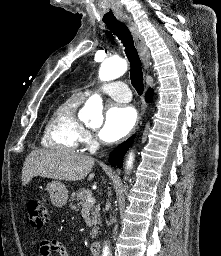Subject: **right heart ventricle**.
<instances>
[{
	"instance_id": "right-heart-ventricle-1",
	"label": "right heart ventricle",
	"mask_w": 221,
	"mask_h": 256,
	"mask_svg": "<svg viewBox=\"0 0 221 256\" xmlns=\"http://www.w3.org/2000/svg\"><path fill=\"white\" fill-rule=\"evenodd\" d=\"M81 100V95L73 94L52 110L42 136L44 147L67 152L77 149L84 129L76 115Z\"/></svg>"
}]
</instances>
